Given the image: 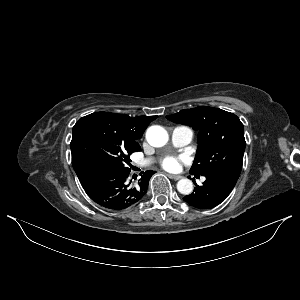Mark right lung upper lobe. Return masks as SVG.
Segmentation results:
<instances>
[{
	"label": "right lung upper lobe",
	"instance_id": "obj_1",
	"mask_svg": "<svg viewBox=\"0 0 300 300\" xmlns=\"http://www.w3.org/2000/svg\"><path fill=\"white\" fill-rule=\"evenodd\" d=\"M102 120L112 129L115 134L122 137L133 148L141 150L136 142L142 135L149 123L157 116H139L131 118L126 114H115L108 112H96Z\"/></svg>",
	"mask_w": 300,
	"mask_h": 300
}]
</instances>
